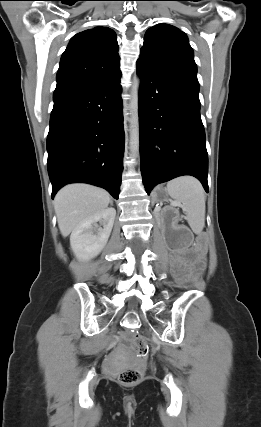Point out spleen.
I'll use <instances>...</instances> for the list:
<instances>
[{"mask_svg":"<svg viewBox=\"0 0 261 427\" xmlns=\"http://www.w3.org/2000/svg\"><path fill=\"white\" fill-rule=\"evenodd\" d=\"M166 190L174 203L186 211L192 231L201 234L205 226L206 198L200 182L191 176H183L169 181Z\"/></svg>","mask_w":261,"mask_h":427,"instance_id":"3e777b00","label":"spleen"}]
</instances>
